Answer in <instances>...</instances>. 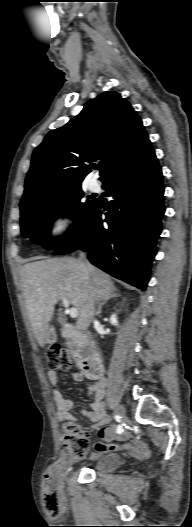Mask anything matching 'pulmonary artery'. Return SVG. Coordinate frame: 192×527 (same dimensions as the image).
I'll return each instance as SVG.
<instances>
[{
  "label": "pulmonary artery",
  "instance_id": "obj_1",
  "mask_svg": "<svg viewBox=\"0 0 192 527\" xmlns=\"http://www.w3.org/2000/svg\"><path fill=\"white\" fill-rule=\"evenodd\" d=\"M98 188H99V185H98V183H97L95 180H91V181H89V183H88V189H89L90 191H97Z\"/></svg>",
  "mask_w": 192,
  "mask_h": 527
}]
</instances>
